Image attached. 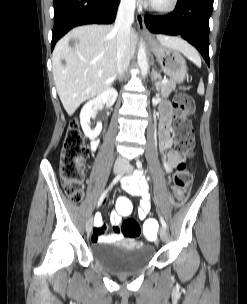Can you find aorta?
I'll use <instances>...</instances> for the list:
<instances>
[{
	"label": "aorta",
	"instance_id": "762f6f07",
	"mask_svg": "<svg viewBox=\"0 0 247 304\" xmlns=\"http://www.w3.org/2000/svg\"><path fill=\"white\" fill-rule=\"evenodd\" d=\"M137 62H138V66L141 71V75L143 78H145L148 73V60H147V55H146L145 44L142 40L139 43Z\"/></svg>",
	"mask_w": 247,
	"mask_h": 304
}]
</instances>
